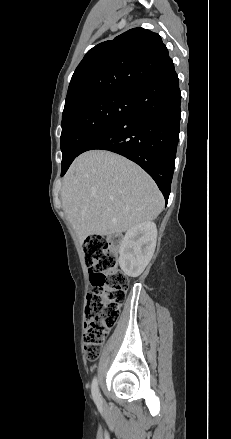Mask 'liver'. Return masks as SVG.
<instances>
[{
    "instance_id": "obj_1",
    "label": "liver",
    "mask_w": 231,
    "mask_h": 439,
    "mask_svg": "<svg viewBox=\"0 0 231 439\" xmlns=\"http://www.w3.org/2000/svg\"><path fill=\"white\" fill-rule=\"evenodd\" d=\"M64 211L80 241L151 222L164 198L153 179L118 154L92 150L78 156L63 179Z\"/></svg>"
}]
</instances>
